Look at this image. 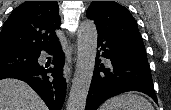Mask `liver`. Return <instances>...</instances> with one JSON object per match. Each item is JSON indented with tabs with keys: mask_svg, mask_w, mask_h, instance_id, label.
I'll list each match as a JSON object with an SVG mask.
<instances>
[{
	"mask_svg": "<svg viewBox=\"0 0 171 110\" xmlns=\"http://www.w3.org/2000/svg\"><path fill=\"white\" fill-rule=\"evenodd\" d=\"M0 110H48L42 99L25 82L0 80Z\"/></svg>",
	"mask_w": 171,
	"mask_h": 110,
	"instance_id": "6515ba94",
	"label": "liver"
}]
</instances>
